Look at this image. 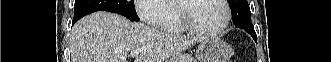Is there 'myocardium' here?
Instances as JSON below:
<instances>
[{"label": "myocardium", "mask_w": 331, "mask_h": 62, "mask_svg": "<svg viewBox=\"0 0 331 62\" xmlns=\"http://www.w3.org/2000/svg\"><path fill=\"white\" fill-rule=\"evenodd\" d=\"M189 1L191 0L176 1V6L179 13V21L185 30L201 36H217L224 32V30L228 27L230 21V9L228 3L225 0H218L224 8V18L221 26L215 30H204L193 23L186 12V5Z\"/></svg>", "instance_id": "obj_1"}]
</instances>
